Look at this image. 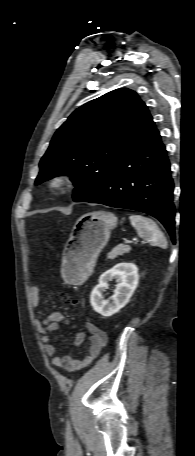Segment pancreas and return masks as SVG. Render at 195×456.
Here are the masks:
<instances>
[{
	"mask_svg": "<svg viewBox=\"0 0 195 456\" xmlns=\"http://www.w3.org/2000/svg\"><path fill=\"white\" fill-rule=\"evenodd\" d=\"M130 250H131V247L128 245H118L108 253L107 259L113 260V259L117 258L119 255L122 256L125 253H129Z\"/></svg>",
	"mask_w": 195,
	"mask_h": 456,
	"instance_id": "1",
	"label": "pancreas"
}]
</instances>
